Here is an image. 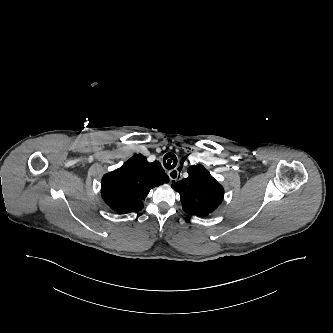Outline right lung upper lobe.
Here are the masks:
<instances>
[{
	"label": "right lung upper lobe",
	"instance_id": "right-lung-upper-lobe-1",
	"mask_svg": "<svg viewBox=\"0 0 333 333\" xmlns=\"http://www.w3.org/2000/svg\"><path fill=\"white\" fill-rule=\"evenodd\" d=\"M168 176L157 161L147 162L134 155L120 168L103 176L101 189L105 203L118 213L137 212L150 189L167 183Z\"/></svg>",
	"mask_w": 333,
	"mask_h": 333
}]
</instances>
